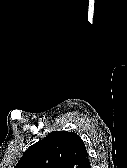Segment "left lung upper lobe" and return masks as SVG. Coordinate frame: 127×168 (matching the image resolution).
I'll use <instances>...</instances> for the list:
<instances>
[{"instance_id":"obj_1","label":"left lung upper lobe","mask_w":127,"mask_h":168,"mask_svg":"<svg viewBox=\"0 0 127 168\" xmlns=\"http://www.w3.org/2000/svg\"><path fill=\"white\" fill-rule=\"evenodd\" d=\"M88 154L74 132L52 131L27 149L15 168H82Z\"/></svg>"}]
</instances>
